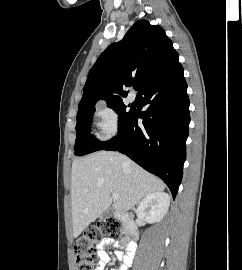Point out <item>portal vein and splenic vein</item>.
<instances>
[{"mask_svg":"<svg viewBox=\"0 0 242 270\" xmlns=\"http://www.w3.org/2000/svg\"><path fill=\"white\" fill-rule=\"evenodd\" d=\"M112 198H113L114 200H118V199H119V195H118V194L113 193V194H112Z\"/></svg>","mask_w":242,"mask_h":270,"instance_id":"portal-vein-and-splenic-vein-1","label":"portal vein and splenic vein"}]
</instances>
